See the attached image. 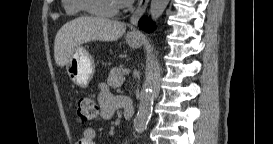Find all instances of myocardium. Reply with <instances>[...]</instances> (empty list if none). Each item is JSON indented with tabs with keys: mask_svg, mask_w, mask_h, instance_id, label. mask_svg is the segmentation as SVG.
Returning <instances> with one entry per match:
<instances>
[{
	"mask_svg": "<svg viewBox=\"0 0 273 144\" xmlns=\"http://www.w3.org/2000/svg\"><path fill=\"white\" fill-rule=\"evenodd\" d=\"M95 0H80L81 8L89 14L97 16H111L119 11V7L116 6L112 9L103 10L94 6Z\"/></svg>",
	"mask_w": 273,
	"mask_h": 144,
	"instance_id": "myocardium-1",
	"label": "myocardium"
}]
</instances>
